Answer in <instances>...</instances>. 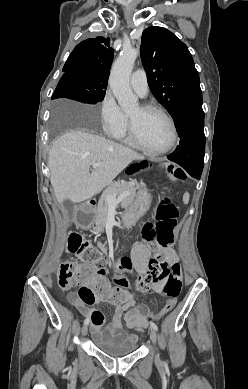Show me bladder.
<instances>
[{
	"label": "bladder",
	"mask_w": 248,
	"mask_h": 389,
	"mask_svg": "<svg viewBox=\"0 0 248 389\" xmlns=\"http://www.w3.org/2000/svg\"><path fill=\"white\" fill-rule=\"evenodd\" d=\"M93 344L112 357L129 355L136 351L137 344L127 334H109L105 330L92 334Z\"/></svg>",
	"instance_id": "obj_1"
}]
</instances>
